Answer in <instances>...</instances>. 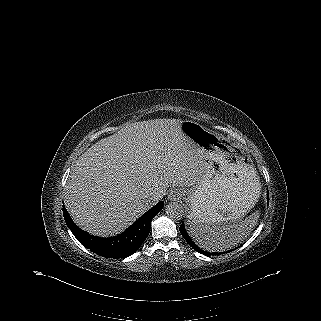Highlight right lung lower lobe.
Segmentation results:
<instances>
[{"label": "right lung lower lobe", "instance_id": "98d812e1", "mask_svg": "<svg viewBox=\"0 0 321 321\" xmlns=\"http://www.w3.org/2000/svg\"><path fill=\"white\" fill-rule=\"evenodd\" d=\"M163 206L164 202H159L123 233L110 238L92 236L78 228L64 206L63 215L67 226L84 247L103 257L125 258L135 253L147 238L151 228V221Z\"/></svg>", "mask_w": 321, "mask_h": 321}]
</instances>
